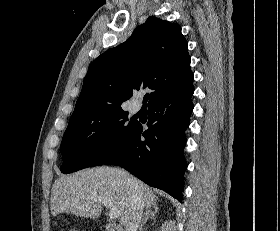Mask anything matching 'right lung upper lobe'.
<instances>
[{
  "label": "right lung upper lobe",
  "mask_w": 280,
  "mask_h": 231,
  "mask_svg": "<svg viewBox=\"0 0 280 231\" xmlns=\"http://www.w3.org/2000/svg\"><path fill=\"white\" fill-rule=\"evenodd\" d=\"M187 46L178 24L149 17L126 42L91 63L70 121L124 111L135 90H153L149 106L192 85Z\"/></svg>",
  "instance_id": "right-lung-upper-lobe-1"
}]
</instances>
